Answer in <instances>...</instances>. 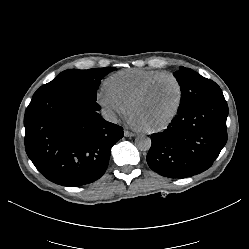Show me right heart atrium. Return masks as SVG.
Wrapping results in <instances>:
<instances>
[{
	"label": "right heart atrium",
	"instance_id": "1",
	"mask_svg": "<svg viewBox=\"0 0 249 249\" xmlns=\"http://www.w3.org/2000/svg\"><path fill=\"white\" fill-rule=\"evenodd\" d=\"M96 101L101 107L105 118L112 122L124 115L128 110L127 103L112 95L105 88L97 93Z\"/></svg>",
	"mask_w": 249,
	"mask_h": 249
}]
</instances>
